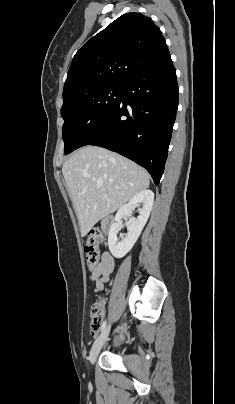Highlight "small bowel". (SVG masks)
Wrapping results in <instances>:
<instances>
[{
  "instance_id": "1",
  "label": "small bowel",
  "mask_w": 235,
  "mask_h": 404,
  "mask_svg": "<svg viewBox=\"0 0 235 404\" xmlns=\"http://www.w3.org/2000/svg\"><path fill=\"white\" fill-rule=\"evenodd\" d=\"M114 268V259L109 252L101 255L99 264L91 271L90 280L95 282V292L101 291ZM102 304V303H100Z\"/></svg>"
}]
</instances>
